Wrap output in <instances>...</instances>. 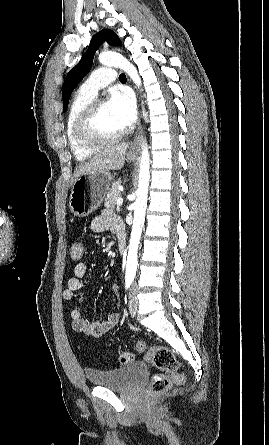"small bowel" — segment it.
<instances>
[{"mask_svg": "<svg viewBox=\"0 0 269 445\" xmlns=\"http://www.w3.org/2000/svg\"><path fill=\"white\" fill-rule=\"evenodd\" d=\"M91 229L94 232L111 230L115 231L117 234L120 231H124L121 221L110 210H104L101 214L93 218ZM87 271L88 266L86 263L81 262L75 265L73 276L68 279L67 288L62 293V297L65 301H73L76 293L83 291L86 288V281L84 278ZM118 290V284H113L111 286V291L116 297H118ZM70 319L74 331L92 337H99L119 323L120 315L117 312H113L103 321L90 322L82 316L79 309L73 308L70 310Z\"/></svg>", "mask_w": 269, "mask_h": 445, "instance_id": "c3829d8e", "label": "small bowel"}]
</instances>
